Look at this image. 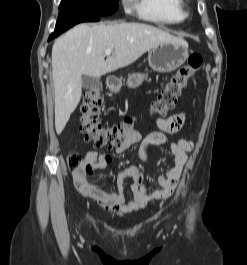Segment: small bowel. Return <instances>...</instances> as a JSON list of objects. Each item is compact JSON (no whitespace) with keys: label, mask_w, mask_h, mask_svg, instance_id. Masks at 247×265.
Returning a JSON list of instances; mask_svg holds the SVG:
<instances>
[{"label":"small bowel","mask_w":247,"mask_h":265,"mask_svg":"<svg viewBox=\"0 0 247 265\" xmlns=\"http://www.w3.org/2000/svg\"><path fill=\"white\" fill-rule=\"evenodd\" d=\"M187 120L185 111H181L167 118L156 119L159 131L149 133L142 142L140 159L148 170V149L152 146L168 144L174 154V162L165 176H155L156 188L149 189L145 184L143 170L136 165L123 168L116 177L117 190H107L99 184L91 182L88 177L94 169H105L111 163L109 155L100 154L97 150L86 153L81 167L72 172V179L77 190L85 197L95 200L101 207L112 213H130L146 207L151 201L164 199L173 194L180 180L183 168L188 159V153L193 143L186 139L171 140L170 134L182 129ZM141 140L139 133H135L121 147L118 154H124L134 143ZM131 179L129 197L125 190V180Z\"/></svg>","instance_id":"1"}]
</instances>
